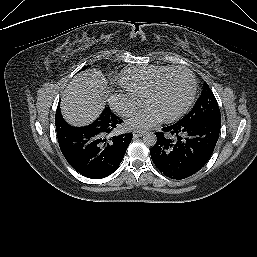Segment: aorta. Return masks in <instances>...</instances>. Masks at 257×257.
<instances>
[{
    "mask_svg": "<svg viewBox=\"0 0 257 257\" xmlns=\"http://www.w3.org/2000/svg\"><path fill=\"white\" fill-rule=\"evenodd\" d=\"M157 137L153 132H145L143 134V142L148 146L155 145Z\"/></svg>",
    "mask_w": 257,
    "mask_h": 257,
    "instance_id": "762f6f07",
    "label": "aorta"
}]
</instances>
